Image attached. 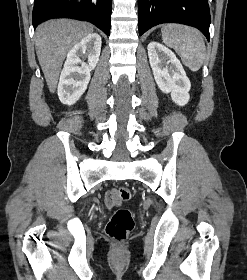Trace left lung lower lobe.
<instances>
[{"label":"left lung lower lobe","instance_id":"0a47b994","mask_svg":"<svg viewBox=\"0 0 247 280\" xmlns=\"http://www.w3.org/2000/svg\"><path fill=\"white\" fill-rule=\"evenodd\" d=\"M139 35L161 23H181L199 29L209 40L208 0H138Z\"/></svg>","mask_w":247,"mask_h":280}]
</instances>
